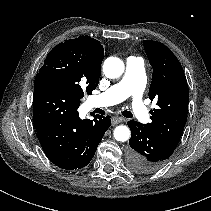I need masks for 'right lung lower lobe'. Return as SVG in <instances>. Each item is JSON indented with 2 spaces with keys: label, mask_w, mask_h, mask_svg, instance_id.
<instances>
[{
  "label": "right lung lower lobe",
  "mask_w": 211,
  "mask_h": 211,
  "mask_svg": "<svg viewBox=\"0 0 211 211\" xmlns=\"http://www.w3.org/2000/svg\"><path fill=\"white\" fill-rule=\"evenodd\" d=\"M76 94L46 78L34 81L33 121L43 151L49 160L66 170L88 165L111 125L110 116L81 120Z\"/></svg>",
  "instance_id": "obj_1"
}]
</instances>
